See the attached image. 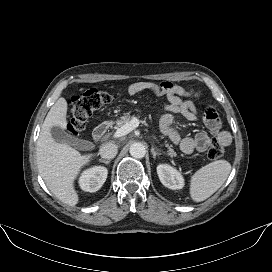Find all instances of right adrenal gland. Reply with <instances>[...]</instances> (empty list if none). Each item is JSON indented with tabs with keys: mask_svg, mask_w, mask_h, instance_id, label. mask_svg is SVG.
<instances>
[{
	"mask_svg": "<svg viewBox=\"0 0 272 272\" xmlns=\"http://www.w3.org/2000/svg\"><path fill=\"white\" fill-rule=\"evenodd\" d=\"M99 162H102V163L108 165V164H110L111 161L110 160L99 159Z\"/></svg>",
	"mask_w": 272,
	"mask_h": 272,
	"instance_id": "right-adrenal-gland-1",
	"label": "right adrenal gland"
}]
</instances>
